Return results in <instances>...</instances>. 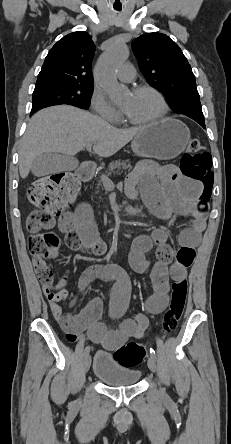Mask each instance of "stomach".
<instances>
[{
	"label": "stomach",
	"instance_id": "obj_1",
	"mask_svg": "<svg viewBox=\"0 0 231 444\" xmlns=\"http://www.w3.org/2000/svg\"><path fill=\"white\" fill-rule=\"evenodd\" d=\"M190 140V131L181 121L165 118L148 125L132 141L133 152L146 158L169 160L182 153Z\"/></svg>",
	"mask_w": 231,
	"mask_h": 444
}]
</instances>
